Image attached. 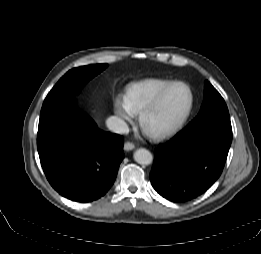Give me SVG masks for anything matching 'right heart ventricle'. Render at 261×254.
I'll return each mask as SVG.
<instances>
[{"mask_svg": "<svg viewBox=\"0 0 261 254\" xmlns=\"http://www.w3.org/2000/svg\"><path fill=\"white\" fill-rule=\"evenodd\" d=\"M171 81L145 79L133 84L127 92V102L134 114H139L150 105Z\"/></svg>", "mask_w": 261, "mask_h": 254, "instance_id": "1", "label": "right heart ventricle"}]
</instances>
